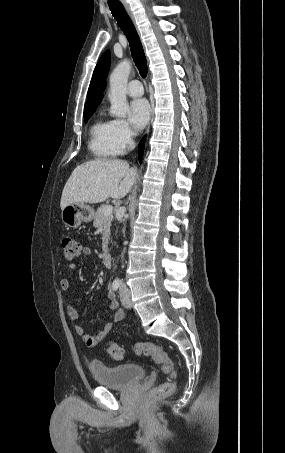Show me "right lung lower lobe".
<instances>
[{
	"mask_svg": "<svg viewBox=\"0 0 285 453\" xmlns=\"http://www.w3.org/2000/svg\"><path fill=\"white\" fill-rule=\"evenodd\" d=\"M145 140H146V137H144V138L141 140V142H140V144H139V147H138L139 159H141V157H142V153H143V150H144V142H145Z\"/></svg>",
	"mask_w": 285,
	"mask_h": 453,
	"instance_id": "right-lung-lower-lobe-1",
	"label": "right lung lower lobe"
}]
</instances>
